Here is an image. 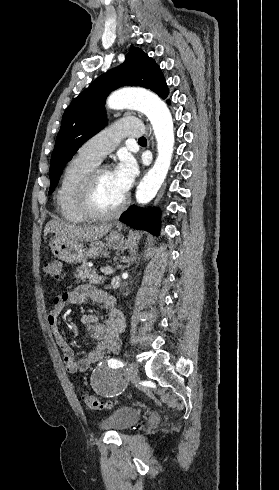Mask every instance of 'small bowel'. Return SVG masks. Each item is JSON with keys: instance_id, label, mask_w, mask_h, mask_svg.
<instances>
[{"instance_id": "1", "label": "small bowel", "mask_w": 279, "mask_h": 490, "mask_svg": "<svg viewBox=\"0 0 279 490\" xmlns=\"http://www.w3.org/2000/svg\"><path fill=\"white\" fill-rule=\"evenodd\" d=\"M88 302L102 304L107 310L106 318L99 321V315L83 314L80 322L86 333L97 341L96 347L81 360H76L73 349L66 342L60 328L59 316L68 305H81ZM54 340L63 353V361L68 371L84 372L93 363L100 361L106 353H117L121 346L120 335L125 330V319L116 307L114 297L91 285H81L64 291L53 299V306L47 317Z\"/></svg>"}]
</instances>
